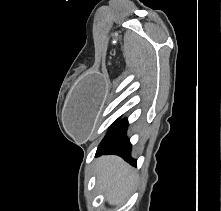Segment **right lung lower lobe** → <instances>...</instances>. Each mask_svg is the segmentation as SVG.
<instances>
[{"instance_id":"right-lung-lower-lobe-1","label":"right lung lower lobe","mask_w":221,"mask_h":211,"mask_svg":"<svg viewBox=\"0 0 221 211\" xmlns=\"http://www.w3.org/2000/svg\"><path fill=\"white\" fill-rule=\"evenodd\" d=\"M128 127L127 119L120 121L109 130L98 146L96 155L115 154L119 155L132 165L136 166V160L130 157L131 144L126 137Z\"/></svg>"}]
</instances>
